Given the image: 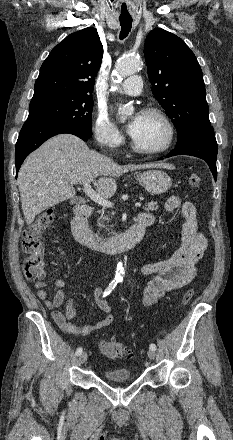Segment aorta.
Listing matches in <instances>:
<instances>
[{
    "label": "aorta",
    "mask_w": 233,
    "mask_h": 440,
    "mask_svg": "<svg viewBox=\"0 0 233 440\" xmlns=\"http://www.w3.org/2000/svg\"><path fill=\"white\" fill-rule=\"evenodd\" d=\"M140 67V60L134 56H124L122 57L115 68V76L117 79H122L124 77L130 76L138 71ZM134 108L132 106L119 107L118 113L121 116V120L124 121L128 116L132 115ZM117 279H122L124 275V267L122 262L117 264L116 272Z\"/></svg>",
    "instance_id": "aorta-1"
}]
</instances>
